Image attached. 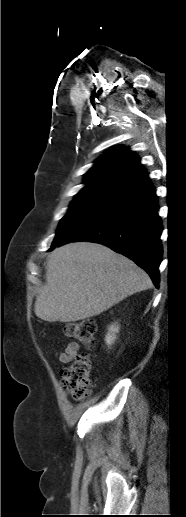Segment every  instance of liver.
I'll return each instance as SVG.
<instances>
[{"label":"liver","mask_w":186,"mask_h":517,"mask_svg":"<svg viewBox=\"0 0 186 517\" xmlns=\"http://www.w3.org/2000/svg\"><path fill=\"white\" fill-rule=\"evenodd\" d=\"M152 285L149 275L127 257L101 244L70 243L49 256L46 283L35 314L48 322L93 317Z\"/></svg>","instance_id":"6515ba94"}]
</instances>
